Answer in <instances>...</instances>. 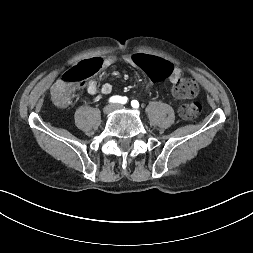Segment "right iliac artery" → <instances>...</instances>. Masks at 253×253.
<instances>
[{
  "mask_svg": "<svg viewBox=\"0 0 253 253\" xmlns=\"http://www.w3.org/2000/svg\"><path fill=\"white\" fill-rule=\"evenodd\" d=\"M128 98L126 96H112L109 99V102L111 103H120V104H125L127 103Z\"/></svg>",
  "mask_w": 253,
  "mask_h": 253,
  "instance_id": "82829eb1",
  "label": "right iliac artery"
}]
</instances>
